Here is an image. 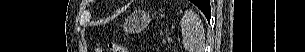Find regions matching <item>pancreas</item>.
Returning a JSON list of instances; mask_svg holds the SVG:
<instances>
[{
  "label": "pancreas",
  "mask_w": 305,
  "mask_h": 52,
  "mask_svg": "<svg viewBox=\"0 0 305 52\" xmlns=\"http://www.w3.org/2000/svg\"><path fill=\"white\" fill-rule=\"evenodd\" d=\"M166 40H167L168 42H171V41H172V39H171V38H169V37H168Z\"/></svg>",
  "instance_id": "pancreas-1"
}]
</instances>
